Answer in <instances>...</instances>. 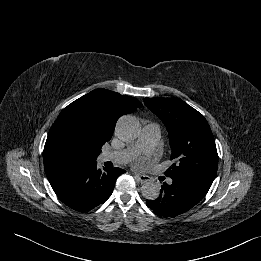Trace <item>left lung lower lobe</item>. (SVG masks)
I'll return each mask as SVG.
<instances>
[{
    "mask_svg": "<svg viewBox=\"0 0 261 261\" xmlns=\"http://www.w3.org/2000/svg\"><path fill=\"white\" fill-rule=\"evenodd\" d=\"M171 179L172 184L163 183L157 199L146 201L159 216L174 217L188 211L204 198L213 183V180L191 174Z\"/></svg>",
    "mask_w": 261,
    "mask_h": 261,
    "instance_id": "1",
    "label": "left lung lower lobe"
}]
</instances>
